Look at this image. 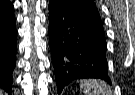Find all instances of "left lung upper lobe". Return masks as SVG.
I'll use <instances>...</instances> for the list:
<instances>
[{"mask_svg": "<svg viewBox=\"0 0 135 95\" xmlns=\"http://www.w3.org/2000/svg\"><path fill=\"white\" fill-rule=\"evenodd\" d=\"M54 8L101 25V18L94 0H50Z\"/></svg>", "mask_w": 135, "mask_h": 95, "instance_id": "obj_1", "label": "left lung upper lobe"}]
</instances>
